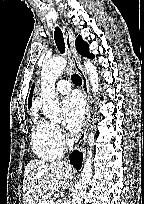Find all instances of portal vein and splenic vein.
<instances>
[{
    "mask_svg": "<svg viewBox=\"0 0 144 204\" xmlns=\"http://www.w3.org/2000/svg\"><path fill=\"white\" fill-rule=\"evenodd\" d=\"M44 204H54V199L49 197L45 200Z\"/></svg>",
    "mask_w": 144,
    "mask_h": 204,
    "instance_id": "18ae733b",
    "label": "portal vein and splenic vein"
}]
</instances>
